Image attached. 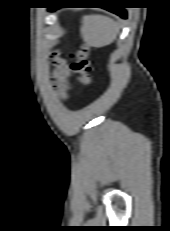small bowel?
<instances>
[{
	"label": "small bowel",
	"instance_id": "obj_1",
	"mask_svg": "<svg viewBox=\"0 0 170 231\" xmlns=\"http://www.w3.org/2000/svg\"><path fill=\"white\" fill-rule=\"evenodd\" d=\"M56 66H57V87L58 91L61 94L62 97H65L67 95V92L70 88L69 84V70L65 64V62L58 58L54 57Z\"/></svg>",
	"mask_w": 170,
	"mask_h": 231
}]
</instances>
